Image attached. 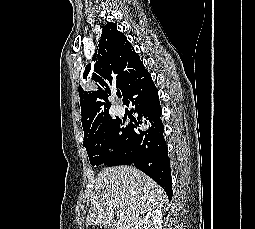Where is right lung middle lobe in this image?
Listing matches in <instances>:
<instances>
[{
    "label": "right lung middle lobe",
    "instance_id": "1",
    "mask_svg": "<svg viewBox=\"0 0 255 229\" xmlns=\"http://www.w3.org/2000/svg\"><path fill=\"white\" fill-rule=\"evenodd\" d=\"M83 145L93 166L103 163L108 167L119 165L131 157L133 151L128 125L125 126L118 118H110L102 123ZM109 148H113L114 152L110 153Z\"/></svg>",
    "mask_w": 255,
    "mask_h": 229
}]
</instances>
